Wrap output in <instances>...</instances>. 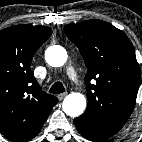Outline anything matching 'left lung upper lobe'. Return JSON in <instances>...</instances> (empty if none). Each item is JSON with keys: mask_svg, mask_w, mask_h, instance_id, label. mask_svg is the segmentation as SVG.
<instances>
[{"mask_svg": "<svg viewBox=\"0 0 142 142\" xmlns=\"http://www.w3.org/2000/svg\"><path fill=\"white\" fill-rule=\"evenodd\" d=\"M84 58L88 105L81 117L97 129L116 134L130 117L136 102L140 70L126 34L102 20L64 27Z\"/></svg>", "mask_w": 142, "mask_h": 142, "instance_id": "obj_1", "label": "left lung upper lobe"}]
</instances>
